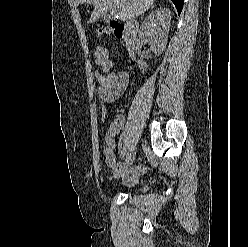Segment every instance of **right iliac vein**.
Masks as SVG:
<instances>
[{
	"mask_svg": "<svg viewBox=\"0 0 248 247\" xmlns=\"http://www.w3.org/2000/svg\"><path fill=\"white\" fill-rule=\"evenodd\" d=\"M136 146L132 147L125 159V171L132 165L135 159Z\"/></svg>",
	"mask_w": 248,
	"mask_h": 247,
	"instance_id": "right-iliac-vein-1",
	"label": "right iliac vein"
}]
</instances>
